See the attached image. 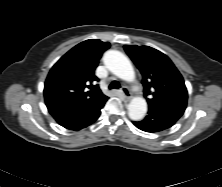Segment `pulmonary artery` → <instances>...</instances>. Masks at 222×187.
<instances>
[{"label": "pulmonary artery", "mask_w": 222, "mask_h": 187, "mask_svg": "<svg viewBox=\"0 0 222 187\" xmlns=\"http://www.w3.org/2000/svg\"><path fill=\"white\" fill-rule=\"evenodd\" d=\"M134 91H136V92H137V91H138V89H137V88H134Z\"/></svg>", "instance_id": "1"}]
</instances>
